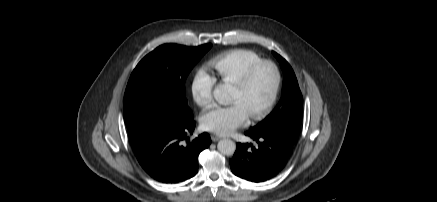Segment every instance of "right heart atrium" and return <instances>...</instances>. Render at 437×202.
Instances as JSON below:
<instances>
[{"label": "right heart atrium", "instance_id": "right-heart-atrium-1", "mask_svg": "<svg viewBox=\"0 0 437 202\" xmlns=\"http://www.w3.org/2000/svg\"><path fill=\"white\" fill-rule=\"evenodd\" d=\"M216 79L205 68L194 73L191 82V94L195 103L201 107H209L213 102V89Z\"/></svg>", "mask_w": 437, "mask_h": 202}]
</instances>
